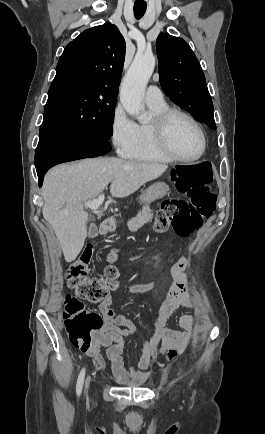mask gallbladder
I'll use <instances>...</instances> for the list:
<instances>
[{
  "mask_svg": "<svg viewBox=\"0 0 265 434\" xmlns=\"http://www.w3.org/2000/svg\"><path fill=\"white\" fill-rule=\"evenodd\" d=\"M89 218H94V216H91V214H89ZM89 229L91 230L89 232V237L95 239L98 236V226L95 223H92L89 226Z\"/></svg>",
  "mask_w": 265,
  "mask_h": 434,
  "instance_id": "gallbladder-1",
  "label": "gallbladder"
}]
</instances>
